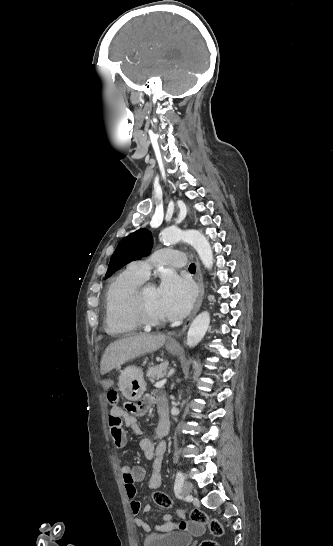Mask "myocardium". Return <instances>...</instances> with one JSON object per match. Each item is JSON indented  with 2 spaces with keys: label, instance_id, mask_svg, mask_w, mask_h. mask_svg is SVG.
Returning a JSON list of instances; mask_svg holds the SVG:
<instances>
[{
  "label": "myocardium",
  "instance_id": "f54148a6",
  "mask_svg": "<svg viewBox=\"0 0 333 546\" xmlns=\"http://www.w3.org/2000/svg\"><path fill=\"white\" fill-rule=\"evenodd\" d=\"M149 286H151V284L144 282L138 285L128 297V307L132 316L140 325L159 327L165 324V319H158L150 316L143 306V293Z\"/></svg>",
  "mask_w": 333,
  "mask_h": 546
}]
</instances>
